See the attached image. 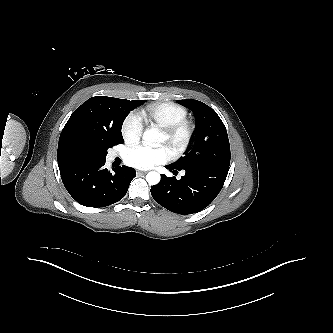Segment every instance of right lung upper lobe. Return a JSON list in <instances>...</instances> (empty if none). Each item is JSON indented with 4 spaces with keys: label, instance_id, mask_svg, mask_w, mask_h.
Instances as JSON below:
<instances>
[{
    "label": "right lung upper lobe",
    "instance_id": "obj_1",
    "mask_svg": "<svg viewBox=\"0 0 333 333\" xmlns=\"http://www.w3.org/2000/svg\"><path fill=\"white\" fill-rule=\"evenodd\" d=\"M115 98L95 96L78 107L65 124L58 144V166L70 157L81 153L84 134L92 128L110 121V108Z\"/></svg>",
    "mask_w": 333,
    "mask_h": 333
}]
</instances>
